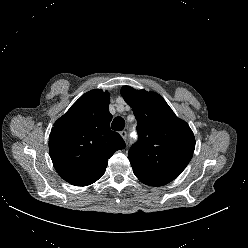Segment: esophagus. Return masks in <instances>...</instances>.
Instances as JSON below:
<instances>
[{
  "label": "esophagus",
  "instance_id": "obj_1",
  "mask_svg": "<svg viewBox=\"0 0 248 248\" xmlns=\"http://www.w3.org/2000/svg\"><path fill=\"white\" fill-rule=\"evenodd\" d=\"M121 137L124 139V141L127 140V132L125 130L120 132Z\"/></svg>",
  "mask_w": 248,
  "mask_h": 248
}]
</instances>
